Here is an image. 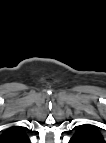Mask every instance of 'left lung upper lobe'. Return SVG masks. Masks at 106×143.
Listing matches in <instances>:
<instances>
[{
  "mask_svg": "<svg viewBox=\"0 0 106 143\" xmlns=\"http://www.w3.org/2000/svg\"><path fill=\"white\" fill-rule=\"evenodd\" d=\"M75 135H78L85 143L104 142L99 130L90 124L80 125Z\"/></svg>",
  "mask_w": 106,
  "mask_h": 143,
  "instance_id": "left-lung-upper-lobe-1",
  "label": "left lung upper lobe"
}]
</instances>
